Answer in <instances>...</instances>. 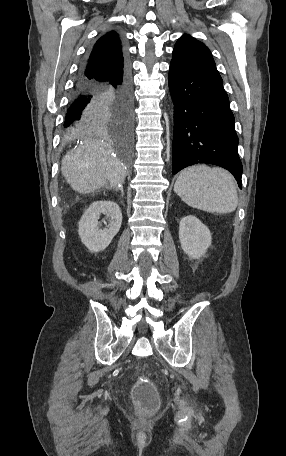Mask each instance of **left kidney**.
<instances>
[{
  "instance_id": "5707ae66",
  "label": "left kidney",
  "mask_w": 286,
  "mask_h": 456,
  "mask_svg": "<svg viewBox=\"0 0 286 456\" xmlns=\"http://www.w3.org/2000/svg\"><path fill=\"white\" fill-rule=\"evenodd\" d=\"M179 240L190 259H199L210 247L212 237L207 226L197 217L188 215L180 221Z\"/></svg>"
}]
</instances>
